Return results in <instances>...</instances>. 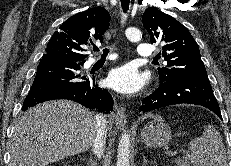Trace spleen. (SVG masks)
Listing matches in <instances>:
<instances>
[{
	"instance_id": "spleen-1",
	"label": "spleen",
	"mask_w": 231,
	"mask_h": 166,
	"mask_svg": "<svg viewBox=\"0 0 231 166\" xmlns=\"http://www.w3.org/2000/svg\"><path fill=\"white\" fill-rule=\"evenodd\" d=\"M183 157L175 160L178 166H228L227 152L219 131L213 125H206L201 137L190 141ZM190 160V162H189Z\"/></svg>"
}]
</instances>
